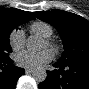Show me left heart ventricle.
<instances>
[{
    "label": "left heart ventricle",
    "mask_w": 89,
    "mask_h": 89,
    "mask_svg": "<svg viewBox=\"0 0 89 89\" xmlns=\"http://www.w3.org/2000/svg\"><path fill=\"white\" fill-rule=\"evenodd\" d=\"M46 47H47V43H44L43 46H42V49L46 48Z\"/></svg>",
    "instance_id": "1"
}]
</instances>
